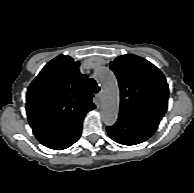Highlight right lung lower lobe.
Masks as SVG:
<instances>
[{
    "mask_svg": "<svg viewBox=\"0 0 194 193\" xmlns=\"http://www.w3.org/2000/svg\"><path fill=\"white\" fill-rule=\"evenodd\" d=\"M83 119L84 117L72 122L60 130L37 136L36 138L40 143L48 148L55 150L66 149L80 138Z\"/></svg>",
    "mask_w": 194,
    "mask_h": 193,
    "instance_id": "1",
    "label": "right lung lower lobe"
}]
</instances>
